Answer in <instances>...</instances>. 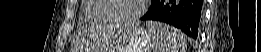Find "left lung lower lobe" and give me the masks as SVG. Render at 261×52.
Returning <instances> with one entry per match:
<instances>
[{
	"label": "left lung lower lobe",
	"instance_id": "1",
	"mask_svg": "<svg viewBox=\"0 0 261 52\" xmlns=\"http://www.w3.org/2000/svg\"><path fill=\"white\" fill-rule=\"evenodd\" d=\"M203 0H153L141 20H156L179 28L197 39L202 22Z\"/></svg>",
	"mask_w": 261,
	"mask_h": 52
}]
</instances>
